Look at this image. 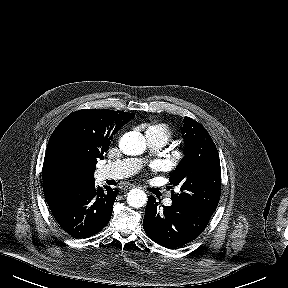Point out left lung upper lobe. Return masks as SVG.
<instances>
[{
    "label": "left lung upper lobe",
    "mask_w": 288,
    "mask_h": 288,
    "mask_svg": "<svg viewBox=\"0 0 288 288\" xmlns=\"http://www.w3.org/2000/svg\"><path fill=\"white\" fill-rule=\"evenodd\" d=\"M182 135L185 155L169 177L173 186L180 187L179 193L171 191L172 202L213 214L221 193L218 151L206 129L189 117L184 118Z\"/></svg>",
    "instance_id": "left-lung-upper-lobe-1"
}]
</instances>
